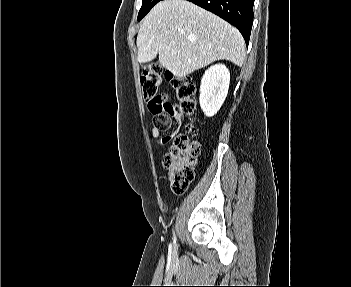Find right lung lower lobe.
Listing matches in <instances>:
<instances>
[{
    "label": "right lung lower lobe",
    "mask_w": 351,
    "mask_h": 287,
    "mask_svg": "<svg viewBox=\"0 0 351 287\" xmlns=\"http://www.w3.org/2000/svg\"><path fill=\"white\" fill-rule=\"evenodd\" d=\"M234 25L249 43L254 0H188Z\"/></svg>",
    "instance_id": "right-lung-lower-lobe-1"
}]
</instances>
